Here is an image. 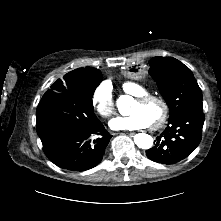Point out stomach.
Segmentation results:
<instances>
[{
    "label": "stomach",
    "instance_id": "obj_1",
    "mask_svg": "<svg viewBox=\"0 0 221 221\" xmlns=\"http://www.w3.org/2000/svg\"><path fill=\"white\" fill-rule=\"evenodd\" d=\"M123 74L130 80H137L143 77L144 68L137 62H130L124 65Z\"/></svg>",
    "mask_w": 221,
    "mask_h": 221
}]
</instances>
